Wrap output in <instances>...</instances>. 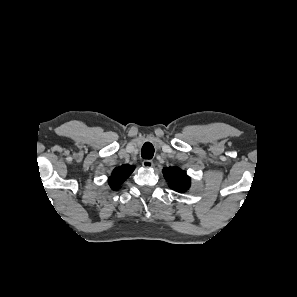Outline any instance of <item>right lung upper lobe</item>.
<instances>
[{
  "label": "right lung upper lobe",
  "instance_id": "obj_1",
  "mask_svg": "<svg viewBox=\"0 0 297 297\" xmlns=\"http://www.w3.org/2000/svg\"><path fill=\"white\" fill-rule=\"evenodd\" d=\"M134 167L125 165L114 169L111 178L108 179V183L112 190H119L122 183L131 175Z\"/></svg>",
  "mask_w": 297,
  "mask_h": 297
}]
</instances>
